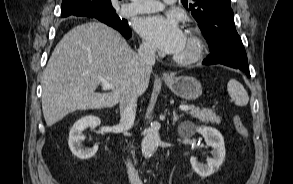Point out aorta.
I'll list each match as a JSON object with an SVG mask.
<instances>
[{
  "label": "aorta",
  "mask_w": 293,
  "mask_h": 184,
  "mask_svg": "<svg viewBox=\"0 0 293 184\" xmlns=\"http://www.w3.org/2000/svg\"><path fill=\"white\" fill-rule=\"evenodd\" d=\"M159 125L157 123H153L145 133V136L141 143L142 154L145 158H149L156 151L159 143Z\"/></svg>",
  "instance_id": "1"
}]
</instances>
